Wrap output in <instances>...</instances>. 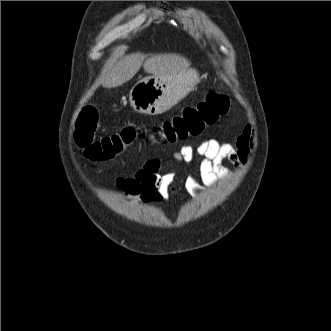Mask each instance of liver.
<instances>
[{"label": "liver", "mask_w": 331, "mask_h": 331, "mask_svg": "<svg viewBox=\"0 0 331 331\" xmlns=\"http://www.w3.org/2000/svg\"><path fill=\"white\" fill-rule=\"evenodd\" d=\"M148 74L170 78L188 69L190 62L179 54L144 55L128 54L102 73L100 83L104 88H115L131 80L142 67Z\"/></svg>", "instance_id": "obj_1"}]
</instances>
